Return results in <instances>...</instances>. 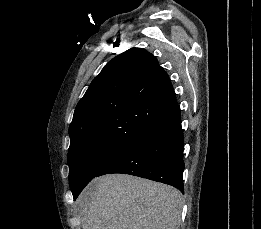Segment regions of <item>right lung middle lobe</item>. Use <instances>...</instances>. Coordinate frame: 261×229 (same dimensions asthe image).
Listing matches in <instances>:
<instances>
[{"mask_svg":"<svg viewBox=\"0 0 261 229\" xmlns=\"http://www.w3.org/2000/svg\"><path fill=\"white\" fill-rule=\"evenodd\" d=\"M145 133H141V136ZM128 148L129 145L96 142L70 145L68 153L69 183L74 200L101 170Z\"/></svg>","mask_w":261,"mask_h":229,"instance_id":"1","label":"right lung middle lobe"}]
</instances>
